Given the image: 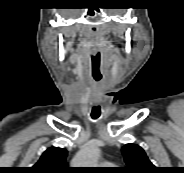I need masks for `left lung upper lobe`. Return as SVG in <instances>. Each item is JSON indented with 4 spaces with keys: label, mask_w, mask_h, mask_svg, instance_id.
I'll use <instances>...</instances> for the list:
<instances>
[{
    "label": "left lung upper lobe",
    "mask_w": 184,
    "mask_h": 173,
    "mask_svg": "<svg viewBox=\"0 0 184 173\" xmlns=\"http://www.w3.org/2000/svg\"><path fill=\"white\" fill-rule=\"evenodd\" d=\"M127 167L124 173H155V166L150 162L144 150L136 144H127L122 148Z\"/></svg>",
    "instance_id": "obj_1"
}]
</instances>
